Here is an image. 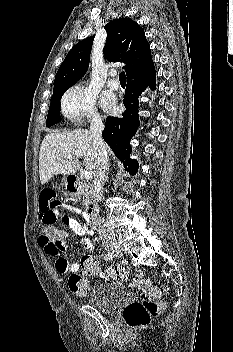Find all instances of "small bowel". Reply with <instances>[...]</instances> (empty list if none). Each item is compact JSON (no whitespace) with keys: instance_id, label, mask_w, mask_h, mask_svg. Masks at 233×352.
<instances>
[{"instance_id":"c3829d8e","label":"small bowel","mask_w":233,"mask_h":352,"mask_svg":"<svg viewBox=\"0 0 233 352\" xmlns=\"http://www.w3.org/2000/svg\"><path fill=\"white\" fill-rule=\"evenodd\" d=\"M62 209L70 212H74L79 216V219H72L62 214ZM39 215L41 222L50 221L55 224L59 218L62 219L65 225H67L72 231L78 235H93V231L90 228L87 213L81 211L78 207L70 203H61L57 197L56 190L52 187H44L39 193ZM81 244L90 253L95 252L92 241L89 238H83ZM39 245L47 256L55 258L56 270L62 274H72L78 272L80 269L79 263L69 264L67 259L62 255L65 247L58 246L52 242H49L44 237L39 238Z\"/></svg>"}]
</instances>
